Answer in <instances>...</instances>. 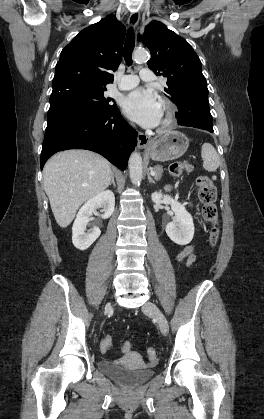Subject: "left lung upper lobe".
Listing matches in <instances>:
<instances>
[{
    "label": "left lung upper lobe",
    "mask_w": 264,
    "mask_h": 419,
    "mask_svg": "<svg viewBox=\"0 0 264 419\" xmlns=\"http://www.w3.org/2000/svg\"><path fill=\"white\" fill-rule=\"evenodd\" d=\"M142 42L151 53L148 67L156 75L167 78L168 87L164 90L178 109L186 103L208 98L201 61L184 38L163 23L152 21L145 27Z\"/></svg>",
    "instance_id": "obj_1"
}]
</instances>
